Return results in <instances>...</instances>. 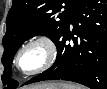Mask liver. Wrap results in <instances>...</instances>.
Masks as SVG:
<instances>
[{"label":"liver","mask_w":107,"mask_h":89,"mask_svg":"<svg viewBox=\"0 0 107 89\" xmlns=\"http://www.w3.org/2000/svg\"><path fill=\"white\" fill-rule=\"evenodd\" d=\"M59 87H62V85H60L58 83H53V84L36 85V86H32L30 88H37V89H58Z\"/></svg>","instance_id":"obj_1"}]
</instances>
